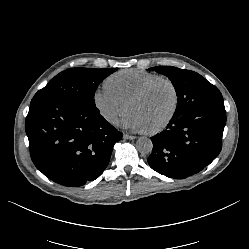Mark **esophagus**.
<instances>
[{
  "instance_id": "34e87169",
  "label": "esophagus",
  "mask_w": 249,
  "mask_h": 249,
  "mask_svg": "<svg viewBox=\"0 0 249 249\" xmlns=\"http://www.w3.org/2000/svg\"><path fill=\"white\" fill-rule=\"evenodd\" d=\"M123 138H124V139L133 140V139H136L137 137H136V136H133V135H129V134H124V135H123Z\"/></svg>"
}]
</instances>
